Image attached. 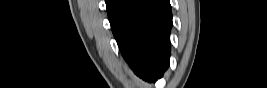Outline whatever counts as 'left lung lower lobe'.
Returning <instances> with one entry per match:
<instances>
[{"mask_svg":"<svg viewBox=\"0 0 267 88\" xmlns=\"http://www.w3.org/2000/svg\"><path fill=\"white\" fill-rule=\"evenodd\" d=\"M112 32L134 72L156 81L169 63L172 26L168 0H106Z\"/></svg>","mask_w":267,"mask_h":88,"instance_id":"1","label":"left lung lower lobe"}]
</instances>
